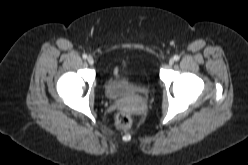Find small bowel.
<instances>
[{
    "instance_id": "obj_1",
    "label": "small bowel",
    "mask_w": 248,
    "mask_h": 165,
    "mask_svg": "<svg viewBox=\"0 0 248 165\" xmlns=\"http://www.w3.org/2000/svg\"><path fill=\"white\" fill-rule=\"evenodd\" d=\"M115 75H116V76H119L118 70L115 71Z\"/></svg>"
}]
</instances>
